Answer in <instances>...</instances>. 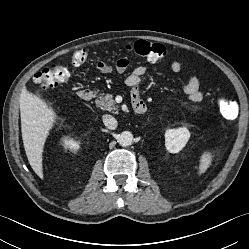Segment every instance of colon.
Instances as JSON below:
<instances>
[{
	"label": "colon",
	"mask_w": 249,
	"mask_h": 249,
	"mask_svg": "<svg viewBox=\"0 0 249 249\" xmlns=\"http://www.w3.org/2000/svg\"><path fill=\"white\" fill-rule=\"evenodd\" d=\"M129 53L136 54L152 62L162 61L167 56V50L161 44L151 43L145 40H139L125 46ZM89 58V52L85 49H79L71 55V65L74 68L81 67ZM71 77V71L62 65L52 64L49 67L38 72L34 76V81L43 89L53 88L61 83L67 82ZM219 109L223 117L227 120L232 119L231 112L236 109L233 99L223 98L218 102Z\"/></svg>",
	"instance_id": "1"
}]
</instances>
